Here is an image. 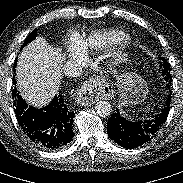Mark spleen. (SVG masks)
Segmentation results:
<instances>
[{"label": "spleen", "instance_id": "spleen-1", "mask_svg": "<svg viewBox=\"0 0 183 183\" xmlns=\"http://www.w3.org/2000/svg\"><path fill=\"white\" fill-rule=\"evenodd\" d=\"M141 111H143V112H149L150 111V108L147 107V108L142 109Z\"/></svg>", "mask_w": 183, "mask_h": 183}]
</instances>
